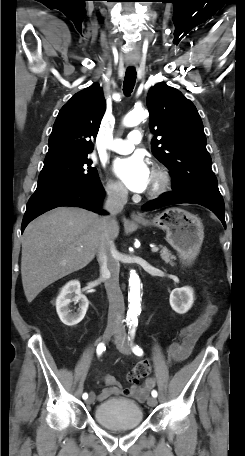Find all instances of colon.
<instances>
[{
  "label": "colon",
  "mask_w": 245,
  "mask_h": 456,
  "mask_svg": "<svg viewBox=\"0 0 245 456\" xmlns=\"http://www.w3.org/2000/svg\"><path fill=\"white\" fill-rule=\"evenodd\" d=\"M151 371V365L148 360H142L131 368L129 378L131 382L138 383L147 377Z\"/></svg>",
  "instance_id": "1"
}]
</instances>
